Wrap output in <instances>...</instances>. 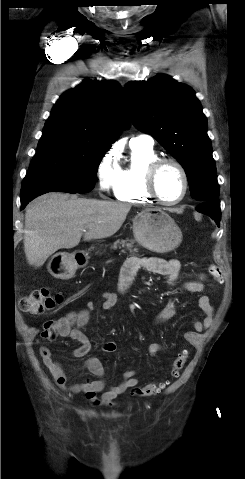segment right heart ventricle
Masks as SVG:
<instances>
[{"mask_svg":"<svg viewBox=\"0 0 245 479\" xmlns=\"http://www.w3.org/2000/svg\"><path fill=\"white\" fill-rule=\"evenodd\" d=\"M157 158L153 146L130 142L128 163L119 168L114 188L117 200L127 203H152L155 200L146 190L145 177L148 166Z\"/></svg>","mask_w":245,"mask_h":479,"instance_id":"1","label":"right heart ventricle"}]
</instances>
